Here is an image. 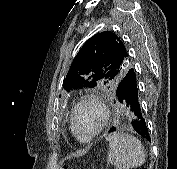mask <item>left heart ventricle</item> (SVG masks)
<instances>
[{"instance_id":"b2bd125f","label":"left heart ventricle","mask_w":177,"mask_h":169,"mask_svg":"<svg viewBox=\"0 0 177 169\" xmlns=\"http://www.w3.org/2000/svg\"><path fill=\"white\" fill-rule=\"evenodd\" d=\"M100 124V113L92 104L83 105L76 115V126L80 134L87 136L93 133Z\"/></svg>"}]
</instances>
